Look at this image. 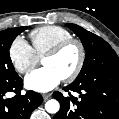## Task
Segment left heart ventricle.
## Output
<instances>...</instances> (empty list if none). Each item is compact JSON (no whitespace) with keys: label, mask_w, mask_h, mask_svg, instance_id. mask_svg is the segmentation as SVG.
Masks as SVG:
<instances>
[{"label":"left heart ventricle","mask_w":119,"mask_h":119,"mask_svg":"<svg viewBox=\"0 0 119 119\" xmlns=\"http://www.w3.org/2000/svg\"><path fill=\"white\" fill-rule=\"evenodd\" d=\"M78 60L79 50L77 46L72 45L58 56L44 58L42 64L54 68L63 78L75 69Z\"/></svg>","instance_id":"1"}]
</instances>
